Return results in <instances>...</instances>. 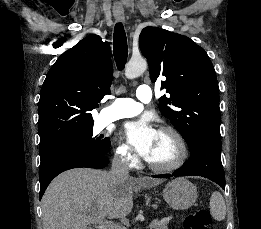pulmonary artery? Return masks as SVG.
I'll return each mask as SVG.
<instances>
[{"mask_svg": "<svg viewBox=\"0 0 261 229\" xmlns=\"http://www.w3.org/2000/svg\"><path fill=\"white\" fill-rule=\"evenodd\" d=\"M136 97L141 102H149L152 98L150 87L141 85L136 90ZM142 111V106L132 99H116L105 109V117L109 121L133 117Z\"/></svg>", "mask_w": 261, "mask_h": 229, "instance_id": "e3ab8cb5", "label": "pulmonary artery"}]
</instances>
